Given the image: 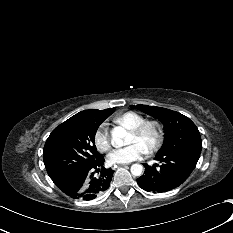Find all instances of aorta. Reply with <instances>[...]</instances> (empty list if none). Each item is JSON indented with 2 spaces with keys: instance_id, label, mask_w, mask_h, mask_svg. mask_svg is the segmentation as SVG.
I'll return each mask as SVG.
<instances>
[{
  "instance_id": "762f6f07",
  "label": "aorta",
  "mask_w": 233,
  "mask_h": 233,
  "mask_svg": "<svg viewBox=\"0 0 233 233\" xmlns=\"http://www.w3.org/2000/svg\"><path fill=\"white\" fill-rule=\"evenodd\" d=\"M112 145L115 148H119L123 145L126 144V139H127V132L124 128L122 127H115L112 132ZM143 171V166L140 164H133L131 166V173L134 176H140Z\"/></svg>"
}]
</instances>
